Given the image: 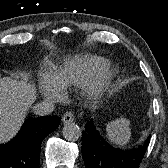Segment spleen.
<instances>
[{"label": "spleen", "instance_id": "spleen-1", "mask_svg": "<svg viewBox=\"0 0 168 168\" xmlns=\"http://www.w3.org/2000/svg\"><path fill=\"white\" fill-rule=\"evenodd\" d=\"M128 119H117L106 125V136L116 146L124 147L131 139Z\"/></svg>", "mask_w": 168, "mask_h": 168}]
</instances>
